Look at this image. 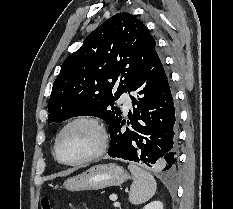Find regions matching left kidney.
<instances>
[{"mask_svg":"<svg viewBox=\"0 0 233 209\" xmlns=\"http://www.w3.org/2000/svg\"><path fill=\"white\" fill-rule=\"evenodd\" d=\"M143 209H163V204L161 201H153L147 204Z\"/></svg>","mask_w":233,"mask_h":209,"instance_id":"5707ae66","label":"left kidney"}]
</instances>
